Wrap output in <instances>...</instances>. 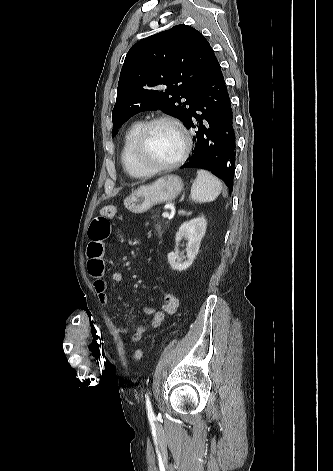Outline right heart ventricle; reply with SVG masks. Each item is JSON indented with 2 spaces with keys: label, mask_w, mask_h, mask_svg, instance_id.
Returning <instances> with one entry per match:
<instances>
[{
  "label": "right heart ventricle",
  "mask_w": 333,
  "mask_h": 471,
  "mask_svg": "<svg viewBox=\"0 0 333 471\" xmlns=\"http://www.w3.org/2000/svg\"><path fill=\"white\" fill-rule=\"evenodd\" d=\"M142 121L132 122L124 131L120 150V160L124 171L133 178L147 176L145 171L139 168L134 159V144L138 132L140 131Z\"/></svg>",
  "instance_id": "1"
}]
</instances>
